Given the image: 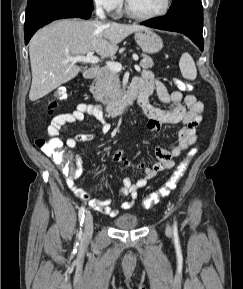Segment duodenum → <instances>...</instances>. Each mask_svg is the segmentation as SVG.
Returning <instances> with one entry per match:
<instances>
[{
    "label": "duodenum",
    "mask_w": 243,
    "mask_h": 289,
    "mask_svg": "<svg viewBox=\"0 0 243 289\" xmlns=\"http://www.w3.org/2000/svg\"><path fill=\"white\" fill-rule=\"evenodd\" d=\"M99 73V68L96 66L89 67L84 72V77L86 79H93ZM143 92L136 88L130 89L129 93L119 100H109L106 103V112L111 116H117L123 112L128 111L135 103L139 105L141 97H143Z\"/></svg>",
    "instance_id": "410a0bca"
}]
</instances>
